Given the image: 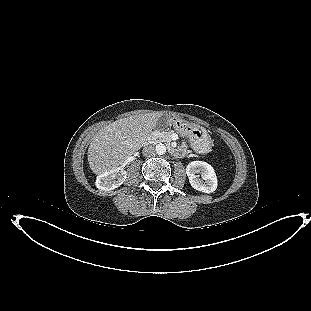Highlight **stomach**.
<instances>
[{"mask_svg":"<svg viewBox=\"0 0 311 311\" xmlns=\"http://www.w3.org/2000/svg\"><path fill=\"white\" fill-rule=\"evenodd\" d=\"M168 125H172L180 134H189L191 147L195 152L207 154L211 151L213 141L206 131L198 128H191L177 117H169V122L166 126Z\"/></svg>","mask_w":311,"mask_h":311,"instance_id":"obj_1","label":"stomach"}]
</instances>
